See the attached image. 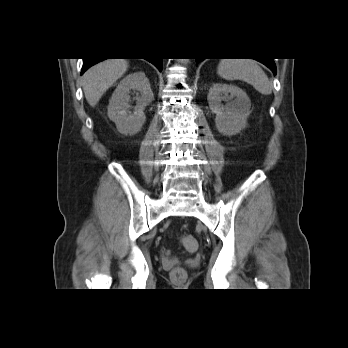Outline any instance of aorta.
I'll list each match as a JSON object with an SVG mask.
<instances>
[{
	"label": "aorta",
	"instance_id": "obj_1",
	"mask_svg": "<svg viewBox=\"0 0 348 348\" xmlns=\"http://www.w3.org/2000/svg\"><path fill=\"white\" fill-rule=\"evenodd\" d=\"M180 62L184 65H187L189 62V59H180Z\"/></svg>",
	"mask_w": 348,
	"mask_h": 348
}]
</instances>
